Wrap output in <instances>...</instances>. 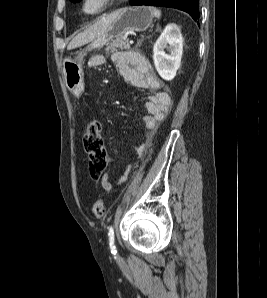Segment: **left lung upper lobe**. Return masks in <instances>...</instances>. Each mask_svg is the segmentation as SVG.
Segmentation results:
<instances>
[{
  "label": "left lung upper lobe",
  "mask_w": 267,
  "mask_h": 298,
  "mask_svg": "<svg viewBox=\"0 0 267 298\" xmlns=\"http://www.w3.org/2000/svg\"><path fill=\"white\" fill-rule=\"evenodd\" d=\"M71 1L76 2V1H80V0H71Z\"/></svg>",
  "instance_id": "obj_1"
}]
</instances>
